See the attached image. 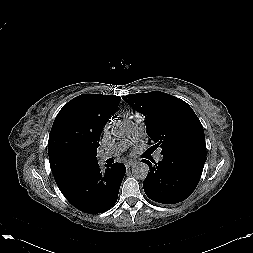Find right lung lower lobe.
<instances>
[{
    "instance_id": "98d812e1",
    "label": "right lung lower lobe",
    "mask_w": 253,
    "mask_h": 253,
    "mask_svg": "<svg viewBox=\"0 0 253 253\" xmlns=\"http://www.w3.org/2000/svg\"><path fill=\"white\" fill-rule=\"evenodd\" d=\"M101 170L98 162L68 175L57 183L65 198L77 209L90 214L107 211L117 201L126 168L114 163Z\"/></svg>"
}]
</instances>
